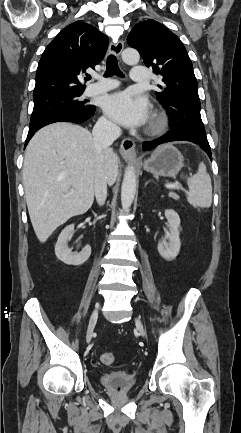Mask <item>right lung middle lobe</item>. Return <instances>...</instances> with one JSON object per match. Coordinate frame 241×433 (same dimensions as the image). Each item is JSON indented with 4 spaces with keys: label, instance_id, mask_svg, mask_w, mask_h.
I'll list each match as a JSON object with an SVG mask.
<instances>
[{
    "label": "right lung middle lobe",
    "instance_id": "dd1d6c3e",
    "mask_svg": "<svg viewBox=\"0 0 241 433\" xmlns=\"http://www.w3.org/2000/svg\"><path fill=\"white\" fill-rule=\"evenodd\" d=\"M83 91H55L40 96L33 97L34 108L30 120V125L59 112L86 111L90 105L85 101H79Z\"/></svg>",
    "mask_w": 241,
    "mask_h": 433
}]
</instances>
